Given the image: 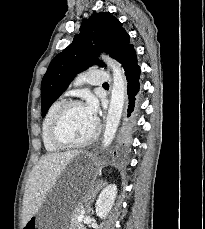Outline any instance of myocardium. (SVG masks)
I'll return each instance as SVG.
<instances>
[{
    "label": "myocardium",
    "instance_id": "obj_1",
    "mask_svg": "<svg viewBox=\"0 0 205 229\" xmlns=\"http://www.w3.org/2000/svg\"><path fill=\"white\" fill-rule=\"evenodd\" d=\"M75 106H83L82 102L78 100H69L65 101L59 109L56 111L53 120L51 122L49 136L53 144L60 148H78L83 147L91 143L99 134L100 132V124L99 121L95 120V128L93 132L84 140L77 141V142H69L62 140L58 135V129L60 126V123L65 115V113L72 107Z\"/></svg>",
    "mask_w": 205,
    "mask_h": 229
}]
</instances>
